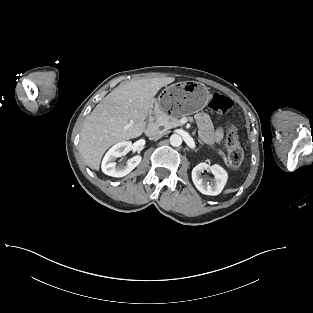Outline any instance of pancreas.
I'll return each instance as SVG.
<instances>
[{
	"mask_svg": "<svg viewBox=\"0 0 313 313\" xmlns=\"http://www.w3.org/2000/svg\"><path fill=\"white\" fill-rule=\"evenodd\" d=\"M157 124L164 127V130L175 128L181 126L180 120L175 116L167 115L163 112H159L156 117ZM218 154L222 156L225 163L228 165V159L225 156L224 152L219 150Z\"/></svg>",
	"mask_w": 313,
	"mask_h": 313,
	"instance_id": "cf45deb5",
	"label": "pancreas"
}]
</instances>
